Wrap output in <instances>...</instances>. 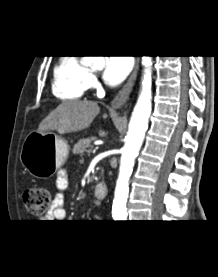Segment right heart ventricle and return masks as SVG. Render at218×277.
<instances>
[{"label":"right heart ventricle","instance_id":"obj_1","mask_svg":"<svg viewBox=\"0 0 218 277\" xmlns=\"http://www.w3.org/2000/svg\"><path fill=\"white\" fill-rule=\"evenodd\" d=\"M89 69L74 56L60 58L53 72L52 92L61 100H78L88 88Z\"/></svg>","mask_w":218,"mask_h":277}]
</instances>
